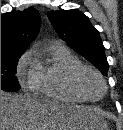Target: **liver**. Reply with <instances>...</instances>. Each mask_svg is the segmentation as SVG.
<instances>
[{
  "mask_svg": "<svg viewBox=\"0 0 123 130\" xmlns=\"http://www.w3.org/2000/svg\"><path fill=\"white\" fill-rule=\"evenodd\" d=\"M101 122L90 107L1 91V130H97Z\"/></svg>",
  "mask_w": 123,
  "mask_h": 130,
  "instance_id": "obj_1",
  "label": "liver"
}]
</instances>
